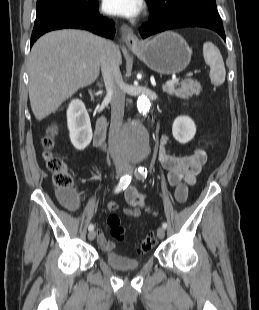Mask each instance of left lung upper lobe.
Returning <instances> with one entry per match:
<instances>
[{"label":"left lung upper lobe","instance_id":"obj_1","mask_svg":"<svg viewBox=\"0 0 259 310\" xmlns=\"http://www.w3.org/2000/svg\"><path fill=\"white\" fill-rule=\"evenodd\" d=\"M151 9V18L159 20L184 10L203 7L216 9L215 0H146Z\"/></svg>","mask_w":259,"mask_h":310}]
</instances>
